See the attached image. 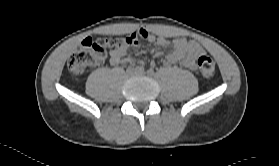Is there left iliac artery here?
<instances>
[{
	"mask_svg": "<svg viewBox=\"0 0 279 166\" xmlns=\"http://www.w3.org/2000/svg\"><path fill=\"white\" fill-rule=\"evenodd\" d=\"M147 74L148 75H153L154 74V70L152 68L147 70Z\"/></svg>",
	"mask_w": 279,
	"mask_h": 166,
	"instance_id": "44dca946",
	"label": "left iliac artery"
}]
</instances>
